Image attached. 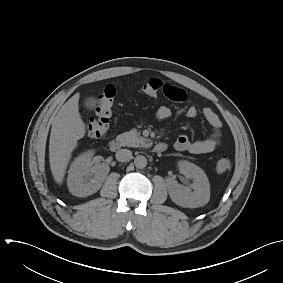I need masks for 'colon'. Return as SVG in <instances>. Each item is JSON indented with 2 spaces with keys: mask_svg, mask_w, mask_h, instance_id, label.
Instances as JSON below:
<instances>
[{
  "mask_svg": "<svg viewBox=\"0 0 283 283\" xmlns=\"http://www.w3.org/2000/svg\"><path fill=\"white\" fill-rule=\"evenodd\" d=\"M163 87V83L158 78H150L143 85V92L150 96L158 94ZM117 90L114 85H107L98 98V106L94 115L88 117L86 129L93 138L103 137L110 125L112 108ZM216 172L223 174L231 169V161L228 157H221L215 166Z\"/></svg>",
  "mask_w": 283,
  "mask_h": 283,
  "instance_id": "obj_1",
  "label": "colon"
}]
</instances>
